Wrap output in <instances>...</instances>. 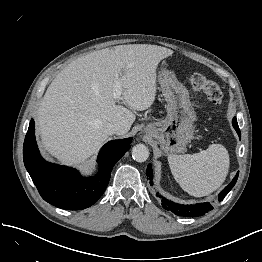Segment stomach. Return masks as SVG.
Wrapping results in <instances>:
<instances>
[{
  "instance_id": "stomach-1",
  "label": "stomach",
  "mask_w": 262,
  "mask_h": 262,
  "mask_svg": "<svg viewBox=\"0 0 262 262\" xmlns=\"http://www.w3.org/2000/svg\"><path fill=\"white\" fill-rule=\"evenodd\" d=\"M158 82L167 102V116L162 121L148 124L144 132L159 142L166 155L181 153L193 138L195 111L188 90L172 71L161 69Z\"/></svg>"
}]
</instances>
